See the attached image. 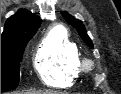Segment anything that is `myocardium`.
<instances>
[{
    "label": "myocardium",
    "mask_w": 121,
    "mask_h": 94,
    "mask_svg": "<svg viewBox=\"0 0 121 94\" xmlns=\"http://www.w3.org/2000/svg\"><path fill=\"white\" fill-rule=\"evenodd\" d=\"M94 66H95V63L93 60L89 58L80 59V71L81 72H89L94 68Z\"/></svg>",
    "instance_id": "obj_1"
}]
</instances>
